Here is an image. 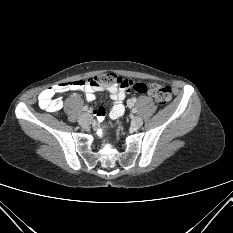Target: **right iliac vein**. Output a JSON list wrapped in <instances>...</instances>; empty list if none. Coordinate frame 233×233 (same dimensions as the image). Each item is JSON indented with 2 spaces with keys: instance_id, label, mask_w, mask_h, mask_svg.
Instances as JSON below:
<instances>
[{
  "instance_id": "1",
  "label": "right iliac vein",
  "mask_w": 233,
  "mask_h": 233,
  "mask_svg": "<svg viewBox=\"0 0 233 233\" xmlns=\"http://www.w3.org/2000/svg\"><path fill=\"white\" fill-rule=\"evenodd\" d=\"M91 121H92V117L90 114L87 113L82 114L78 119V122L81 126H87L91 124Z\"/></svg>"
}]
</instances>
